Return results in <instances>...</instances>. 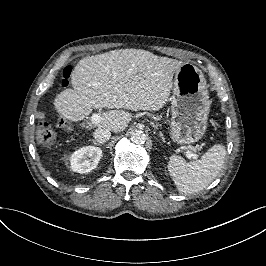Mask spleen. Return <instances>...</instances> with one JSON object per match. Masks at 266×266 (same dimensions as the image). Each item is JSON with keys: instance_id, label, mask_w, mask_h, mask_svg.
I'll return each instance as SVG.
<instances>
[{"instance_id": "spleen-1", "label": "spleen", "mask_w": 266, "mask_h": 266, "mask_svg": "<svg viewBox=\"0 0 266 266\" xmlns=\"http://www.w3.org/2000/svg\"><path fill=\"white\" fill-rule=\"evenodd\" d=\"M226 157L223 144L213 145L204 156L187 162L180 155H171L166 165L175 188L182 194H196L207 188L220 174Z\"/></svg>"}]
</instances>
